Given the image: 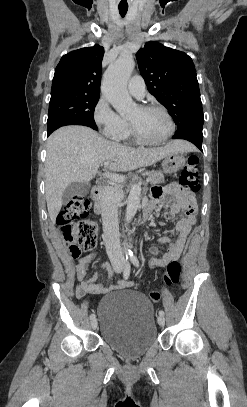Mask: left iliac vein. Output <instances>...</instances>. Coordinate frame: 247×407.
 <instances>
[{
	"label": "left iliac vein",
	"mask_w": 247,
	"mask_h": 407,
	"mask_svg": "<svg viewBox=\"0 0 247 407\" xmlns=\"http://www.w3.org/2000/svg\"><path fill=\"white\" fill-rule=\"evenodd\" d=\"M157 321L160 326H164L165 324L164 316H158Z\"/></svg>",
	"instance_id": "1"
}]
</instances>
